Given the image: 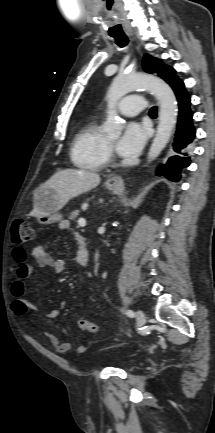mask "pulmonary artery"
Returning a JSON list of instances; mask_svg holds the SVG:
<instances>
[{"instance_id":"pulmonary-artery-1","label":"pulmonary artery","mask_w":215,"mask_h":433,"mask_svg":"<svg viewBox=\"0 0 215 433\" xmlns=\"http://www.w3.org/2000/svg\"><path fill=\"white\" fill-rule=\"evenodd\" d=\"M147 108L142 95L131 94L126 96L118 105L120 113L126 116H134Z\"/></svg>"}]
</instances>
